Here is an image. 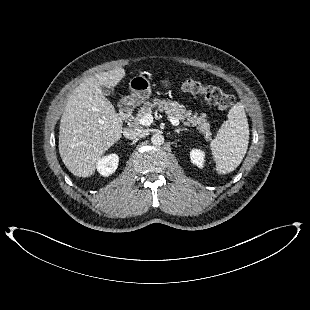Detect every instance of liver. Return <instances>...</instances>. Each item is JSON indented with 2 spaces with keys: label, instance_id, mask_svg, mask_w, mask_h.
Masks as SVG:
<instances>
[{
  "label": "liver",
  "instance_id": "obj_1",
  "mask_svg": "<svg viewBox=\"0 0 310 310\" xmlns=\"http://www.w3.org/2000/svg\"><path fill=\"white\" fill-rule=\"evenodd\" d=\"M124 77L122 67L96 73L70 94L60 121L59 153L73 175H93L97 162L121 138L123 121L100 87H115Z\"/></svg>",
  "mask_w": 310,
  "mask_h": 310
}]
</instances>
